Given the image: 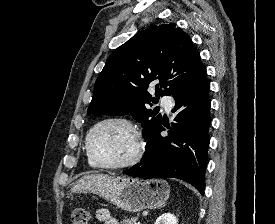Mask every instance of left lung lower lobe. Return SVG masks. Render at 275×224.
Here are the masks:
<instances>
[{
	"label": "left lung lower lobe",
	"mask_w": 275,
	"mask_h": 224,
	"mask_svg": "<svg viewBox=\"0 0 275 224\" xmlns=\"http://www.w3.org/2000/svg\"><path fill=\"white\" fill-rule=\"evenodd\" d=\"M210 83L203 66L172 93L175 109L180 110L169 128L163 121L145 140L142 161L124 174L144 179L156 177L178 178L204 193L211 125ZM169 128L168 136L161 131Z\"/></svg>",
	"instance_id": "left-lung-lower-lobe-1"
}]
</instances>
